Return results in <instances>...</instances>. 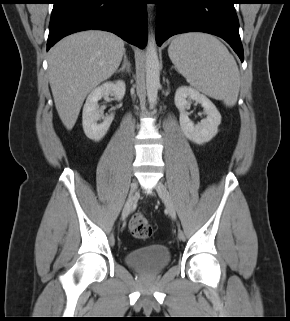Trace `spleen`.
Returning a JSON list of instances; mask_svg holds the SVG:
<instances>
[{"label": "spleen", "mask_w": 290, "mask_h": 321, "mask_svg": "<svg viewBox=\"0 0 290 321\" xmlns=\"http://www.w3.org/2000/svg\"><path fill=\"white\" fill-rule=\"evenodd\" d=\"M168 54L191 86L227 106L235 105L240 89L238 66L217 38L204 33L179 35Z\"/></svg>", "instance_id": "obj_1"}]
</instances>
